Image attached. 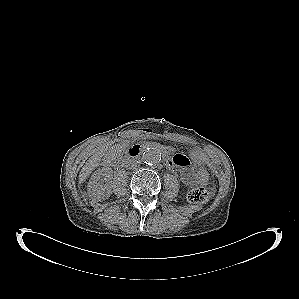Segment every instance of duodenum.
<instances>
[{"label":"duodenum","instance_id":"1","mask_svg":"<svg viewBox=\"0 0 299 299\" xmlns=\"http://www.w3.org/2000/svg\"><path fill=\"white\" fill-rule=\"evenodd\" d=\"M143 147L141 145H133L127 150H125L117 160V163L120 165L126 164L128 161L138 157L142 151ZM166 164L171 166V159L166 157L165 158Z\"/></svg>","mask_w":299,"mask_h":299}]
</instances>
